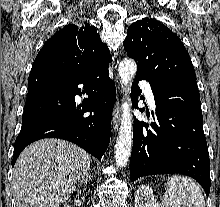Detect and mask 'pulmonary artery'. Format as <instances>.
<instances>
[{"label": "pulmonary artery", "mask_w": 220, "mask_h": 207, "mask_svg": "<svg viewBox=\"0 0 220 207\" xmlns=\"http://www.w3.org/2000/svg\"><path fill=\"white\" fill-rule=\"evenodd\" d=\"M139 85H140V87L143 89L144 94H145V96H146V99H147V101H148L150 107H151L152 109H155L154 95H153V92H152V89H151L149 83L146 82V81H141V82L139 83Z\"/></svg>", "instance_id": "pulmonary-artery-1"}]
</instances>
